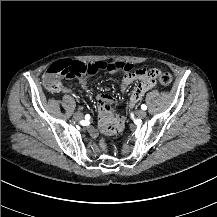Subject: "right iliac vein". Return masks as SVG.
<instances>
[{
    "mask_svg": "<svg viewBox=\"0 0 217 217\" xmlns=\"http://www.w3.org/2000/svg\"><path fill=\"white\" fill-rule=\"evenodd\" d=\"M74 118L77 119V120L82 119L83 118V114L81 112H76L74 114Z\"/></svg>",
    "mask_w": 217,
    "mask_h": 217,
    "instance_id": "obj_1",
    "label": "right iliac vein"
}]
</instances>
